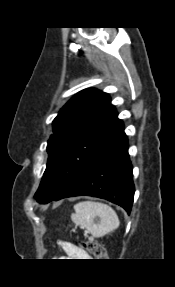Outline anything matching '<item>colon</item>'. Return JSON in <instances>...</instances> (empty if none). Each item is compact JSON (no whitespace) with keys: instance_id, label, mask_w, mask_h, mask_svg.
I'll return each instance as SVG.
<instances>
[{"instance_id":"colon-1","label":"colon","mask_w":175,"mask_h":287,"mask_svg":"<svg viewBox=\"0 0 175 287\" xmlns=\"http://www.w3.org/2000/svg\"><path fill=\"white\" fill-rule=\"evenodd\" d=\"M81 247L98 259H104L106 256L104 247L97 242L85 241L81 243Z\"/></svg>"}]
</instances>
